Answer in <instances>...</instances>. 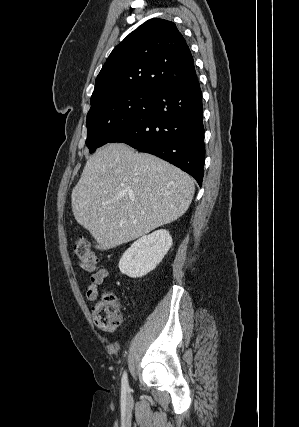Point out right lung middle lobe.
<instances>
[{
  "mask_svg": "<svg viewBox=\"0 0 299 427\" xmlns=\"http://www.w3.org/2000/svg\"><path fill=\"white\" fill-rule=\"evenodd\" d=\"M154 95L122 92L93 104L87 114L86 145L90 153L129 128L144 112Z\"/></svg>",
  "mask_w": 299,
  "mask_h": 427,
  "instance_id": "obj_1",
  "label": "right lung middle lobe"
}]
</instances>
